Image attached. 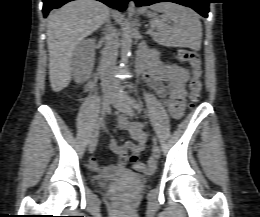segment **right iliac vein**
<instances>
[{
  "label": "right iliac vein",
  "mask_w": 260,
  "mask_h": 217,
  "mask_svg": "<svg viewBox=\"0 0 260 217\" xmlns=\"http://www.w3.org/2000/svg\"><path fill=\"white\" fill-rule=\"evenodd\" d=\"M113 95L111 93H106L103 95L102 98V107H103V114H105V112L108 110L109 105L111 104V102L113 101ZM97 141H98V133H96L93 138L91 139L90 143H89V152L93 153L96 145H97Z\"/></svg>",
  "instance_id": "obj_1"
}]
</instances>
